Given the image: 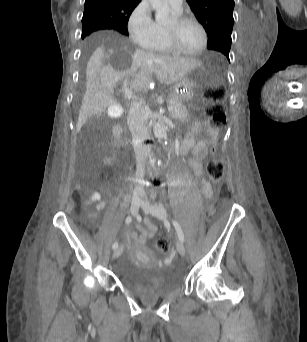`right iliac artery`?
I'll return each mask as SVG.
<instances>
[{"instance_id": "82829eb1", "label": "right iliac artery", "mask_w": 307, "mask_h": 342, "mask_svg": "<svg viewBox=\"0 0 307 342\" xmlns=\"http://www.w3.org/2000/svg\"><path fill=\"white\" fill-rule=\"evenodd\" d=\"M131 221H132V217H131V216H128V217L126 218V220H125V222H126L127 224L131 223ZM117 247H118V242H114L113 245H112V248H113V249H116Z\"/></svg>"}]
</instances>
